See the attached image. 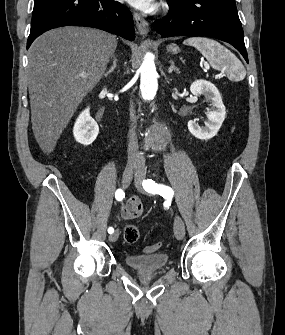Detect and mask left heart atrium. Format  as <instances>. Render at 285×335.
I'll return each mask as SVG.
<instances>
[{
    "label": "left heart atrium",
    "mask_w": 285,
    "mask_h": 335,
    "mask_svg": "<svg viewBox=\"0 0 285 335\" xmlns=\"http://www.w3.org/2000/svg\"><path fill=\"white\" fill-rule=\"evenodd\" d=\"M133 7H136L138 9L142 10H148L153 6L154 1H126Z\"/></svg>",
    "instance_id": "left-heart-atrium-1"
}]
</instances>
